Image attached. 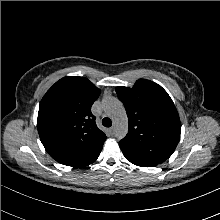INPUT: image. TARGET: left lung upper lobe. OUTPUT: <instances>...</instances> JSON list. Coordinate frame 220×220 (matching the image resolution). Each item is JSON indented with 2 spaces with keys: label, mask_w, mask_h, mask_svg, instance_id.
Segmentation results:
<instances>
[{
  "label": "left lung upper lobe",
  "mask_w": 220,
  "mask_h": 220,
  "mask_svg": "<svg viewBox=\"0 0 220 220\" xmlns=\"http://www.w3.org/2000/svg\"><path fill=\"white\" fill-rule=\"evenodd\" d=\"M128 115V134L119 145L121 150L160 164L174 152L181 124L177 109L158 84L139 79L130 87H116Z\"/></svg>",
  "instance_id": "left-lung-upper-lobe-1"
}]
</instances>
